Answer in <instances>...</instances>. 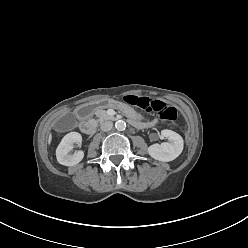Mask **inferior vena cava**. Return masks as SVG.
Masks as SVG:
<instances>
[{"mask_svg":"<svg viewBox=\"0 0 248 248\" xmlns=\"http://www.w3.org/2000/svg\"><path fill=\"white\" fill-rule=\"evenodd\" d=\"M113 127V123L111 121H105L101 124L102 131H110Z\"/></svg>","mask_w":248,"mask_h":248,"instance_id":"obj_1","label":"inferior vena cava"}]
</instances>
